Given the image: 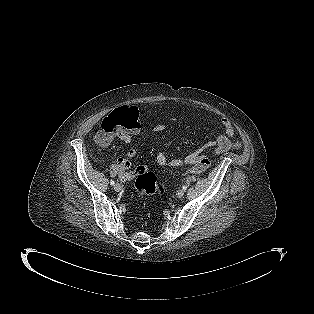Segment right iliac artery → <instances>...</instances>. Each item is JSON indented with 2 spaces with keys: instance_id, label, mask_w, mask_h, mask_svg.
<instances>
[{
  "instance_id": "1",
  "label": "right iliac artery",
  "mask_w": 314,
  "mask_h": 314,
  "mask_svg": "<svg viewBox=\"0 0 314 314\" xmlns=\"http://www.w3.org/2000/svg\"><path fill=\"white\" fill-rule=\"evenodd\" d=\"M110 184H111V185H114V184H115V182H114L113 180H111V181H110Z\"/></svg>"
}]
</instances>
